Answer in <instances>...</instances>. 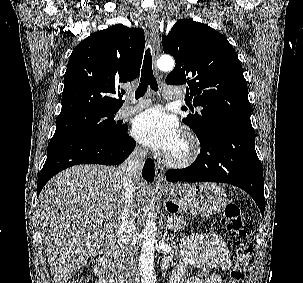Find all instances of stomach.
Returning <instances> with one entry per match:
<instances>
[{
	"label": "stomach",
	"instance_id": "stomach-1",
	"mask_svg": "<svg viewBox=\"0 0 303 283\" xmlns=\"http://www.w3.org/2000/svg\"><path fill=\"white\" fill-rule=\"evenodd\" d=\"M166 197L165 208L169 211L212 215L227 205L225 190L216 184H194L182 188L162 190Z\"/></svg>",
	"mask_w": 303,
	"mask_h": 283
}]
</instances>
